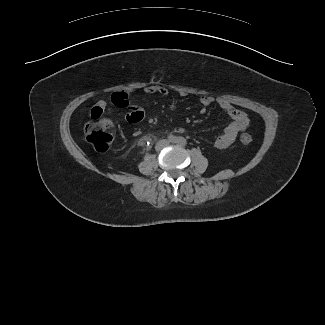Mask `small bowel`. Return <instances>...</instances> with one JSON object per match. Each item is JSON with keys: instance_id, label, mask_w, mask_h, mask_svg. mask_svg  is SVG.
<instances>
[{"instance_id": "c3829d8e", "label": "small bowel", "mask_w": 325, "mask_h": 325, "mask_svg": "<svg viewBox=\"0 0 325 325\" xmlns=\"http://www.w3.org/2000/svg\"><path fill=\"white\" fill-rule=\"evenodd\" d=\"M147 94H158L166 97L168 95V90L162 86H148L144 89ZM181 96H186L185 92L179 93ZM138 96V92L132 91L129 94L118 92L113 96L114 105L120 110L130 109L125 114V119L129 123H138L140 122L144 116L145 111L144 108L139 104L131 105V100L129 97ZM200 103L203 106L211 105L215 99L208 95H203L199 98ZM218 106L227 112V114L231 117L232 122L223 130V132L218 135L215 140V146L219 149H224L229 147L236 140L239 134L244 132L248 126V117L247 115L236 109L229 101L223 98L216 99ZM204 112V110H202ZM103 113H109L110 115H117V110L111 108L106 101L97 102L90 111V116L99 118ZM183 129L177 128L176 131L181 132Z\"/></svg>"}]
</instances>
